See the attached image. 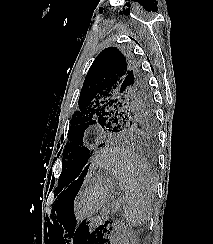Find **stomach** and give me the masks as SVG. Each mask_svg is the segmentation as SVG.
Returning <instances> with one entry per match:
<instances>
[{"instance_id": "1", "label": "stomach", "mask_w": 213, "mask_h": 244, "mask_svg": "<svg viewBox=\"0 0 213 244\" xmlns=\"http://www.w3.org/2000/svg\"><path fill=\"white\" fill-rule=\"evenodd\" d=\"M114 188L115 180L110 174L90 179L79 196L77 216L84 219L98 213L111 198Z\"/></svg>"}]
</instances>
